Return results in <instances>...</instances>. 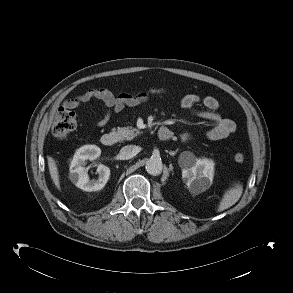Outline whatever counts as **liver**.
<instances>
[{
    "label": "liver",
    "instance_id": "6515ba94",
    "mask_svg": "<svg viewBox=\"0 0 293 293\" xmlns=\"http://www.w3.org/2000/svg\"><path fill=\"white\" fill-rule=\"evenodd\" d=\"M48 168L50 172L51 179L58 190L60 187L59 172L55 160L51 156H47Z\"/></svg>",
    "mask_w": 293,
    "mask_h": 293
}]
</instances>
